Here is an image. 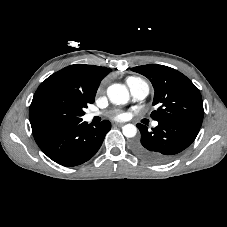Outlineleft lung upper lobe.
I'll list each match as a JSON object with an SVG mask.
<instances>
[{"mask_svg": "<svg viewBox=\"0 0 227 227\" xmlns=\"http://www.w3.org/2000/svg\"><path fill=\"white\" fill-rule=\"evenodd\" d=\"M131 70L147 77L154 87L153 105L159 107L151 113L152 119L202 125L204 109L200 91L185 75L157 64L137 66Z\"/></svg>", "mask_w": 227, "mask_h": 227, "instance_id": "left-lung-upper-lobe-1", "label": "left lung upper lobe"}]
</instances>
